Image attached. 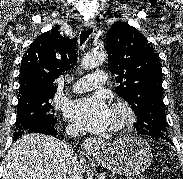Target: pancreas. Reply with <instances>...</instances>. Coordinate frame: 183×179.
Returning a JSON list of instances; mask_svg holds the SVG:
<instances>
[{
    "label": "pancreas",
    "mask_w": 183,
    "mask_h": 179,
    "mask_svg": "<svg viewBox=\"0 0 183 179\" xmlns=\"http://www.w3.org/2000/svg\"><path fill=\"white\" fill-rule=\"evenodd\" d=\"M134 179H148V178H146V177H144V176H137V177L134 178Z\"/></svg>",
    "instance_id": "pancreas-1"
}]
</instances>
